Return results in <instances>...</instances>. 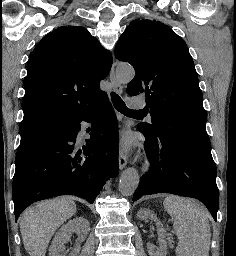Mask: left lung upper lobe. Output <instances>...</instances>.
<instances>
[{
	"mask_svg": "<svg viewBox=\"0 0 236 256\" xmlns=\"http://www.w3.org/2000/svg\"><path fill=\"white\" fill-rule=\"evenodd\" d=\"M115 56L130 63L135 77L127 93L146 95L151 124L139 128L156 134L160 122L207 136L206 111L196 69L186 43L156 20L132 21L116 44Z\"/></svg>",
	"mask_w": 236,
	"mask_h": 256,
	"instance_id": "left-lung-upper-lobe-1",
	"label": "left lung upper lobe"
}]
</instances>
